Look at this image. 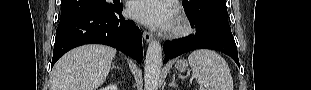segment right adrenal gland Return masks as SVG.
<instances>
[{"label": "right adrenal gland", "instance_id": "2a0ac1e0", "mask_svg": "<svg viewBox=\"0 0 311 90\" xmlns=\"http://www.w3.org/2000/svg\"><path fill=\"white\" fill-rule=\"evenodd\" d=\"M112 68H115L114 64L112 65Z\"/></svg>", "mask_w": 311, "mask_h": 90}]
</instances>
